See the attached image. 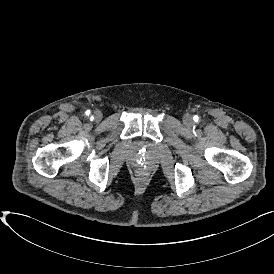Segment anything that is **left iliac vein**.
I'll return each instance as SVG.
<instances>
[{"instance_id": "left-iliac-vein-1", "label": "left iliac vein", "mask_w": 274, "mask_h": 274, "mask_svg": "<svg viewBox=\"0 0 274 274\" xmlns=\"http://www.w3.org/2000/svg\"><path fill=\"white\" fill-rule=\"evenodd\" d=\"M184 124L187 126H191L193 124V118L189 115L186 114L183 118Z\"/></svg>"}]
</instances>
